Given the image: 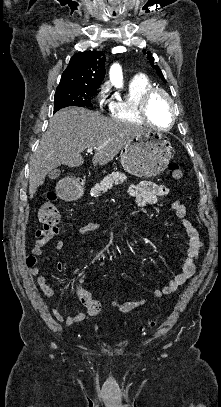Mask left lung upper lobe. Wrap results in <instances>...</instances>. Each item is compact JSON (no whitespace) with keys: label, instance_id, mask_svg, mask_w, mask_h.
Here are the masks:
<instances>
[{"label":"left lung upper lobe","instance_id":"left-lung-upper-lobe-1","mask_svg":"<svg viewBox=\"0 0 221 407\" xmlns=\"http://www.w3.org/2000/svg\"><path fill=\"white\" fill-rule=\"evenodd\" d=\"M143 53H144V54H147V59H148L149 63L151 64V66L156 70V73L158 74V76H159L163 81H166L165 78H164V76H163V74H162V72H161V69L158 67V65H156L155 60H154L152 54H151L149 51L146 52L145 50L143 51Z\"/></svg>","mask_w":221,"mask_h":407}]
</instances>
